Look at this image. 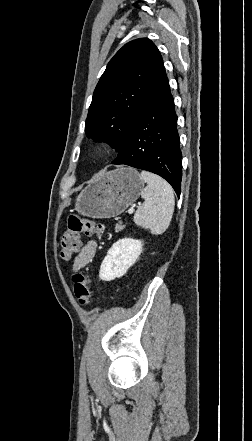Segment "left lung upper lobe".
Here are the masks:
<instances>
[{"instance_id":"1","label":"left lung upper lobe","mask_w":252,"mask_h":441,"mask_svg":"<svg viewBox=\"0 0 252 441\" xmlns=\"http://www.w3.org/2000/svg\"><path fill=\"white\" fill-rule=\"evenodd\" d=\"M161 55L140 38L125 44L110 60L93 94L86 135L119 152L151 86Z\"/></svg>"}]
</instances>
